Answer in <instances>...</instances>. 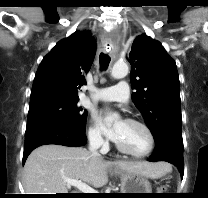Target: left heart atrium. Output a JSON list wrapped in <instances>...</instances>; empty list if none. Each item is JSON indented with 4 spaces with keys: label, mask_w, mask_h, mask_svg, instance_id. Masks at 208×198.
I'll return each instance as SVG.
<instances>
[{
    "label": "left heart atrium",
    "mask_w": 208,
    "mask_h": 198,
    "mask_svg": "<svg viewBox=\"0 0 208 198\" xmlns=\"http://www.w3.org/2000/svg\"><path fill=\"white\" fill-rule=\"evenodd\" d=\"M95 119L100 126V128L103 130V132L112 140L116 141L119 135L120 131V124L121 122L117 123L113 127H109L106 123V116L102 113H98L95 116Z\"/></svg>",
    "instance_id": "obj_1"
}]
</instances>
